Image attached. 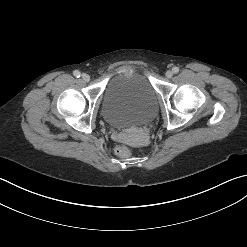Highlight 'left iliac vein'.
I'll use <instances>...</instances> for the list:
<instances>
[{
  "label": "left iliac vein",
  "mask_w": 247,
  "mask_h": 247,
  "mask_svg": "<svg viewBox=\"0 0 247 247\" xmlns=\"http://www.w3.org/2000/svg\"><path fill=\"white\" fill-rule=\"evenodd\" d=\"M165 75L167 78H171L173 76V72L171 70H168Z\"/></svg>",
  "instance_id": "4c4485c4"
}]
</instances>
